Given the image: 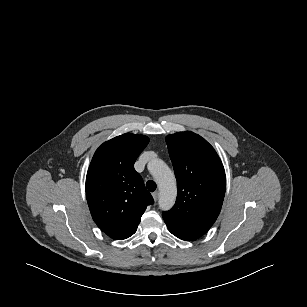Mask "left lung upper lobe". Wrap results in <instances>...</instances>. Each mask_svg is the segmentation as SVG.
Masks as SVG:
<instances>
[{"mask_svg":"<svg viewBox=\"0 0 307 307\" xmlns=\"http://www.w3.org/2000/svg\"><path fill=\"white\" fill-rule=\"evenodd\" d=\"M177 179V199L162 214L170 230L187 240L201 237L216 221L224 199L226 178L214 148L193 132L166 137Z\"/></svg>","mask_w":307,"mask_h":307,"instance_id":"obj_1","label":"left lung upper lobe"}]
</instances>
